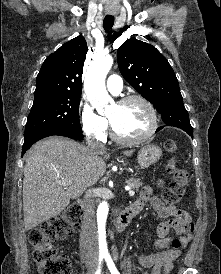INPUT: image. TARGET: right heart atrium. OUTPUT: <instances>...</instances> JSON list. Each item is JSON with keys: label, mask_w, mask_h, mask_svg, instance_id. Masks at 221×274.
<instances>
[{"label": "right heart atrium", "mask_w": 221, "mask_h": 274, "mask_svg": "<svg viewBox=\"0 0 221 274\" xmlns=\"http://www.w3.org/2000/svg\"><path fill=\"white\" fill-rule=\"evenodd\" d=\"M79 118L82 131L88 138L96 141L105 139L107 122L87 101L80 103Z\"/></svg>", "instance_id": "1"}]
</instances>
